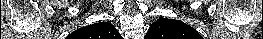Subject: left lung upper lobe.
Masks as SVG:
<instances>
[{
  "mask_svg": "<svg viewBox=\"0 0 263 39\" xmlns=\"http://www.w3.org/2000/svg\"><path fill=\"white\" fill-rule=\"evenodd\" d=\"M145 39H203L191 26L175 19L159 18L152 23Z\"/></svg>",
  "mask_w": 263,
  "mask_h": 39,
  "instance_id": "5c2ea615",
  "label": "left lung upper lobe"
}]
</instances>
